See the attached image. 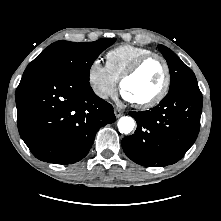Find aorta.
<instances>
[{
    "label": "aorta",
    "mask_w": 221,
    "mask_h": 221,
    "mask_svg": "<svg viewBox=\"0 0 221 221\" xmlns=\"http://www.w3.org/2000/svg\"><path fill=\"white\" fill-rule=\"evenodd\" d=\"M118 129L120 133L129 134L135 126V121L132 117L124 116L118 121Z\"/></svg>",
    "instance_id": "aorta-1"
}]
</instances>
